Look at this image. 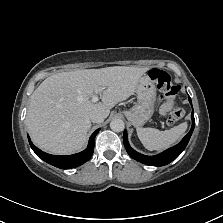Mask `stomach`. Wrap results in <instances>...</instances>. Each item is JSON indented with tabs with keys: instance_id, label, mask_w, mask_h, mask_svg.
<instances>
[{
	"instance_id": "obj_1",
	"label": "stomach",
	"mask_w": 223,
	"mask_h": 223,
	"mask_svg": "<svg viewBox=\"0 0 223 223\" xmlns=\"http://www.w3.org/2000/svg\"><path fill=\"white\" fill-rule=\"evenodd\" d=\"M152 70H149L139 79L135 89L137 102L131 109L124 112L127 119L135 127L144 125L154 112L157 88L152 79Z\"/></svg>"
}]
</instances>
